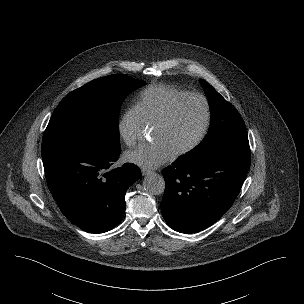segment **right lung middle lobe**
<instances>
[{"label":"right lung middle lobe","instance_id":"right-lung-middle-lobe-1","mask_svg":"<svg viewBox=\"0 0 304 304\" xmlns=\"http://www.w3.org/2000/svg\"><path fill=\"white\" fill-rule=\"evenodd\" d=\"M146 83L123 74L95 79L65 96L43 135L42 150L83 146L121 151L118 113L125 97Z\"/></svg>","mask_w":304,"mask_h":304}]
</instances>
